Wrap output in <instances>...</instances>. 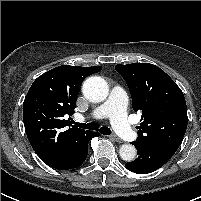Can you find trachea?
Masks as SVG:
<instances>
[{"mask_svg":"<svg viewBox=\"0 0 201 201\" xmlns=\"http://www.w3.org/2000/svg\"><path fill=\"white\" fill-rule=\"evenodd\" d=\"M73 124H75V126H77V127H80L83 129H89V130H98V128H99L98 124L95 122L85 124V123H78V122L73 121ZM99 132L101 134H104V135H110L111 134V130L106 126L101 127L99 129Z\"/></svg>","mask_w":201,"mask_h":201,"instance_id":"3493384b","label":"trachea"}]
</instances>
